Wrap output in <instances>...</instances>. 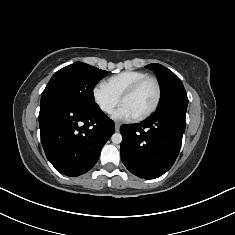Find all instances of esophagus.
Listing matches in <instances>:
<instances>
[{
	"label": "esophagus",
	"instance_id": "34e87169",
	"mask_svg": "<svg viewBox=\"0 0 235 235\" xmlns=\"http://www.w3.org/2000/svg\"><path fill=\"white\" fill-rule=\"evenodd\" d=\"M120 129V123L116 122L115 123V131L118 132Z\"/></svg>",
	"mask_w": 235,
	"mask_h": 235
}]
</instances>
